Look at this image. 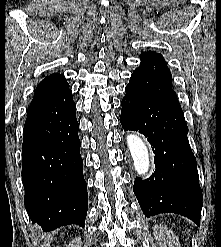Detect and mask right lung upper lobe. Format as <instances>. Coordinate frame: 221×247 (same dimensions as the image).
<instances>
[{"instance_id":"obj_1","label":"right lung upper lobe","mask_w":221,"mask_h":247,"mask_svg":"<svg viewBox=\"0 0 221 247\" xmlns=\"http://www.w3.org/2000/svg\"><path fill=\"white\" fill-rule=\"evenodd\" d=\"M67 89H69V84L64 75L51 74L38 84L31 104L55 96Z\"/></svg>"}]
</instances>
